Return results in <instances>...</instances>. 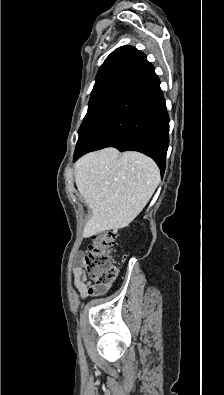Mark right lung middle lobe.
Returning a JSON list of instances; mask_svg holds the SVG:
<instances>
[{
	"instance_id": "dd1d6c3e",
	"label": "right lung middle lobe",
	"mask_w": 224,
	"mask_h": 395,
	"mask_svg": "<svg viewBox=\"0 0 224 395\" xmlns=\"http://www.w3.org/2000/svg\"><path fill=\"white\" fill-rule=\"evenodd\" d=\"M118 73H119V71H115V72L109 73L107 75H104V76L96 79L95 85H94L93 90L91 92V97H90V101H89V107H88L87 114H86V116L79 128V131H78L79 135L83 131L84 127L86 126L90 117L96 110L97 106L100 104V102L103 100L104 96L110 90L116 77L118 76Z\"/></svg>"
}]
</instances>
